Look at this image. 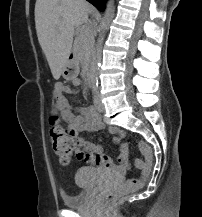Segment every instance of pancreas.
<instances>
[{
	"mask_svg": "<svg viewBox=\"0 0 202 217\" xmlns=\"http://www.w3.org/2000/svg\"><path fill=\"white\" fill-rule=\"evenodd\" d=\"M73 47L80 60L89 58L93 47V32L89 26H83L77 31Z\"/></svg>",
	"mask_w": 202,
	"mask_h": 217,
	"instance_id": "pancreas-1",
	"label": "pancreas"
}]
</instances>
